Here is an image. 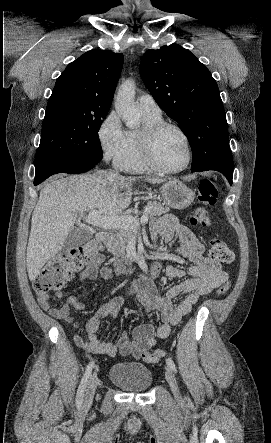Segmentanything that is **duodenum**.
<instances>
[{
  "label": "duodenum",
  "mask_w": 271,
  "mask_h": 443,
  "mask_svg": "<svg viewBox=\"0 0 271 443\" xmlns=\"http://www.w3.org/2000/svg\"><path fill=\"white\" fill-rule=\"evenodd\" d=\"M97 240L103 243H108L111 241V233L108 231H100L96 235ZM116 270L120 273H127L132 271V267L128 264H117Z\"/></svg>",
  "instance_id": "duodenum-1"
}]
</instances>
